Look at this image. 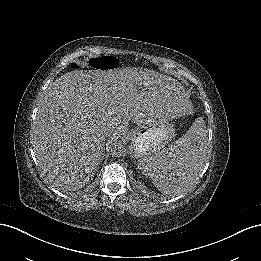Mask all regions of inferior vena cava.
I'll list each match as a JSON object with an SVG mask.
<instances>
[{"label": "inferior vena cava", "instance_id": "obj_1", "mask_svg": "<svg viewBox=\"0 0 261 261\" xmlns=\"http://www.w3.org/2000/svg\"><path fill=\"white\" fill-rule=\"evenodd\" d=\"M114 134H117V132L116 133L110 132V134H108V136H111V135H114Z\"/></svg>", "mask_w": 261, "mask_h": 261}]
</instances>
